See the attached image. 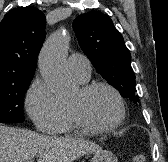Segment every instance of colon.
<instances>
[{"mask_svg":"<svg viewBox=\"0 0 168 162\" xmlns=\"http://www.w3.org/2000/svg\"><path fill=\"white\" fill-rule=\"evenodd\" d=\"M132 162H147L143 154H136L132 158Z\"/></svg>","mask_w":168,"mask_h":162,"instance_id":"5ec220e1","label":"colon"}]
</instances>
